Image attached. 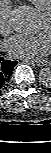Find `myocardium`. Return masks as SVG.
Returning <instances> with one entry per match:
<instances>
[{
    "mask_svg": "<svg viewBox=\"0 0 51 153\" xmlns=\"http://www.w3.org/2000/svg\"><path fill=\"white\" fill-rule=\"evenodd\" d=\"M42 16L51 21V8L46 10V11H44Z\"/></svg>",
    "mask_w": 51,
    "mask_h": 153,
    "instance_id": "myocardium-1",
    "label": "myocardium"
}]
</instances>
